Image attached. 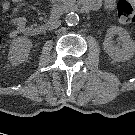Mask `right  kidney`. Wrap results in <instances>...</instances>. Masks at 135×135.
Instances as JSON below:
<instances>
[{
  "label": "right kidney",
  "instance_id": "right-kidney-1",
  "mask_svg": "<svg viewBox=\"0 0 135 135\" xmlns=\"http://www.w3.org/2000/svg\"><path fill=\"white\" fill-rule=\"evenodd\" d=\"M31 48L32 43L28 38L21 36L14 39L8 53L11 64L17 66L24 62L28 58Z\"/></svg>",
  "mask_w": 135,
  "mask_h": 135
}]
</instances>
